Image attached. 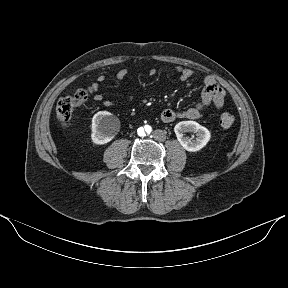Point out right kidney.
Segmentation results:
<instances>
[{
  "mask_svg": "<svg viewBox=\"0 0 288 288\" xmlns=\"http://www.w3.org/2000/svg\"><path fill=\"white\" fill-rule=\"evenodd\" d=\"M91 138L95 144L103 145L115 136L116 119L107 111H99L92 118Z\"/></svg>",
  "mask_w": 288,
  "mask_h": 288,
  "instance_id": "ca27d5eb",
  "label": "right kidney"
}]
</instances>
